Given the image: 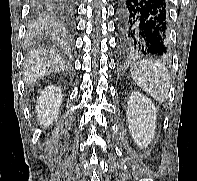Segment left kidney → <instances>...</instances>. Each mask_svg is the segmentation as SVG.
I'll list each match as a JSON object with an SVG mask.
<instances>
[{
	"label": "left kidney",
	"mask_w": 197,
	"mask_h": 181,
	"mask_svg": "<svg viewBox=\"0 0 197 181\" xmlns=\"http://www.w3.org/2000/svg\"><path fill=\"white\" fill-rule=\"evenodd\" d=\"M156 108L140 92L133 91L127 102V122L130 134L140 148H147L155 136Z\"/></svg>",
	"instance_id": "obj_1"
}]
</instances>
